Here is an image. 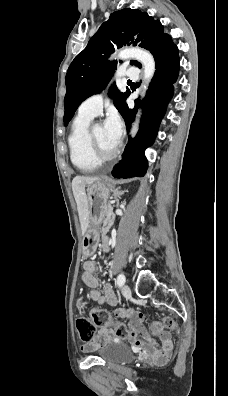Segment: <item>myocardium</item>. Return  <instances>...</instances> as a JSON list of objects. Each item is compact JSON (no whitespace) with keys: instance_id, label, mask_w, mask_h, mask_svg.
<instances>
[{"instance_id":"f54148a6","label":"myocardium","mask_w":228,"mask_h":396,"mask_svg":"<svg viewBox=\"0 0 228 396\" xmlns=\"http://www.w3.org/2000/svg\"><path fill=\"white\" fill-rule=\"evenodd\" d=\"M88 142H89L90 152H91L93 158L100 164L113 160L114 158H116L118 156V154L120 152L119 144L117 145L116 149L111 153L106 154V153L102 152L98 143H97V140L95 138L94 127L89 128Z\"/></svg>"}]
</instances>
